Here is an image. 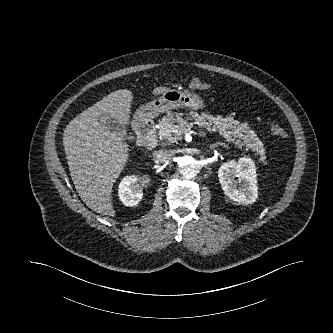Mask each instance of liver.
Listing matches in <instances>:
<instances>
[{"mask_svg":"<svg viewBox=\"0 0 333 333\" xmlns=\"http://www.w3.org/2000/svg\"><path fill=\"white\" fill-rule=\"evenodd\" d=\"M170 90L157 87L153 95ZM133 94L116 90L70 121L64 132V150L78 195L97 213L114 217L112 187L128 160V144L106 127L101 117L129 124Z\"/></svg>","mask_w":333,"mask_h":333,"instance_id":"6515ba94","label":"liver"}]
</instances>
